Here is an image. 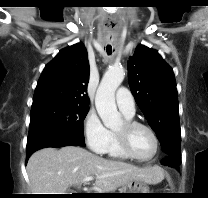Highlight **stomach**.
<instances>
[{"instance_id": "stomach-1", "label": "stomach", "mask_w": 208, "mask_h": 198, "mask_svg": "<svg viewBox=\"0 0 208 198\" xmlns=\"http://www.w3.org/2000/svg\"><path fill=\"white\" fill-rule=\"evenodd\" d=\"M120 197L123 198H145L146 194L139 193H150L149 187L142 181H131L123 186L119 192Z\"/></svg>"}]
</instances>
